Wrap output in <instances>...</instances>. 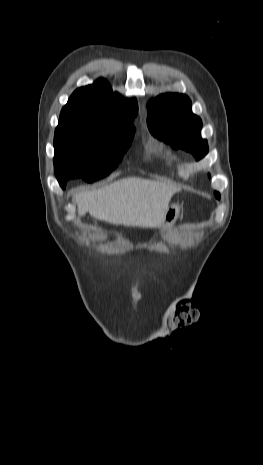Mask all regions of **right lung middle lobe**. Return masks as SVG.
I'll use <instances>...</instances> for the list:
<instances>
[{"mask_svg":"<svg viewBox=\"0 0 263 465\" xmlns=\"http://www.w3.org/2000/svg\"><path fill=\"white\" fill-rule=\"evenodd\" d=\"M134 133L133 121L60 114L54 135L57 179L81 177L93 182L108 175L121 161Z\"/></svg>","mask_w":263,"mask_h":465,"instance_id":"dd1d6c3e","label":"right lung middle lobe"}]
</instances>
